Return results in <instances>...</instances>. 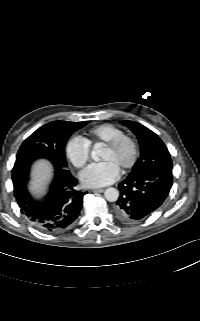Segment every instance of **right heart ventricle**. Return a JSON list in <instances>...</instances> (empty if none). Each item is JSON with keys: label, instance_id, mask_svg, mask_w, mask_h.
<instances>
[{"label": "right heart ventricle", "instance_id": "e07e8e85", "mask_svg": "<svg viewBox=\"0 0 200 321\" xmlns=\"http://www.w3.org/2000/svg\"><path fill=\"white\" fill-rule=\"evenodd\" d=\"M122 134H124V131L120 127L105 123L93 127L84 139L89 146H92L98 143H107Z\"/></svg>", "mask_w": 200, "mask_h": 321}]
</instances>
